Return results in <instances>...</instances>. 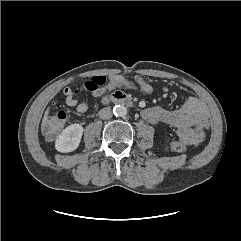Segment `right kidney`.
<instances>
[{
  "label": "right kidney",
  "mask_w": 241,
  "mask_h": 241,
  "mask_svg": "<svg viewBox=\"0 0 241 241\" xmlns=\"http://www.w3.org/2000/svg\"><path fill=\"white\" fill-rule=\"evenodd\" d=\"M83 131L84 129L80 124L69 125L56 139L55 148L63 153L76 150L80 144Z\"/></svg>",
  "instance_id": "obj_1"
}]
</instances>
